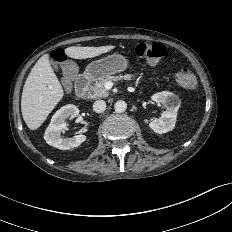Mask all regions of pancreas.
<instances>
[{"mask_svg":"<svg viewBox=\"0 0 232 232\" xmlns=\"http://www.w3.org/2000/svg\"><path fill=\"white\" fill-rule=\"evenodd\" d=\"M132 75H119V76H105L101 78L99 81H96L93 85L88 87V98H105L108 97L109 92L105 88V83L108 81H119V80H131Z\"/></svg>","mask_w":232,"mask_h":232,"instance_id":"pancreas-1","label":"pancreas"}]
</instances>
